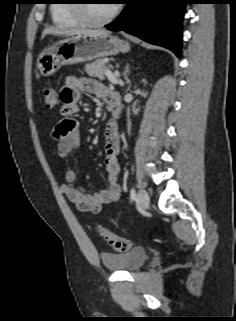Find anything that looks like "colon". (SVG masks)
<instances>
[{
    "instance_id": "obj_1",
    "label": "colon",
    "mask_w": 236,
    "mask_h": 321,
    "mask_svg": "<svg viewBox=\"0 0 236 321\" xmlns=\"http://www.w3.org/2000/svg\"><path fill=\"white\" fill-rule=\"evenodd\" d=\"M58 102L57 91L52 87L43 90V104L47 108H54ZM99 234L109 243V245L117 252H126L131 248V241L121 237L109 229L99 226Z\"/></svg>"
}]
</instances>
